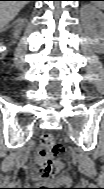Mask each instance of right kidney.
Returning <instances> with one entry per match:
<instances>
[{"instance_id":"obj_1","label":"right kidney","mask_w":104,"mask_h":189,"mask_svg":"<svg viewBox=\"0 0 104 189\" xmlns=\"http://www.w3.org/2000/svg\"><path fill=\"white\" fill-rule=\"evenodd\" d=\"M22 22H23L22 20H19V23H20V24H19V28H18V29L15 31V33H14V36H15V37H17L18 34L20 33V26H21Z\"/></svg>"}]
</instances>
